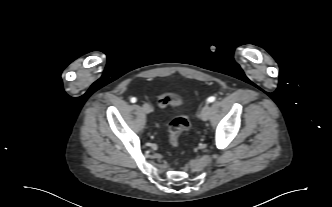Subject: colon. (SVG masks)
I'll use <instances>...</instances> for the list:
<instances>
[{"label": "colon", "mask_w": 332, "mask_h": 207, "mask_svg": "<svg viewBox=\"0 0 332 207\" xmlns=\"http://www.w3.org/2000/svg\"><path fill=\"white\" fill-rule=\"evenodd\" d=\"M158 103L161 107L178 106L181 104V98L176 95H161L158 97ZM189 127V119L185 115L175 116L169 124V144L172 148L179 147L181 134Z\"/></svg>", "instance_id": "obj_1"}]
</instances>
